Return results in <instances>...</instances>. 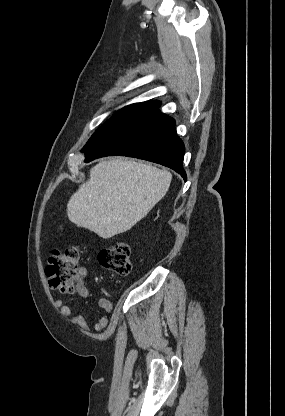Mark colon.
I'll return each instance as SVG.
<instances>
[{"label":"colon","mask_w":285,"mask_h":416,"mask_svg":"<svg viewBox=\"0 0 285 416\" xmlns=\"http://www.w3.org/2000/svg\"><path fill=\"white\" fill-rule=\"evenodd\" d=\"M130 253L129 243L119 240L114 245L100 250L98 260L106 269L121 276H128L132 268ZM79 257L80 250L76 246H70L62 252H53L46 267L51 287L62 292L78 290L84 282Z\"/></svg>","instance_id":"1"}]
</instances>
